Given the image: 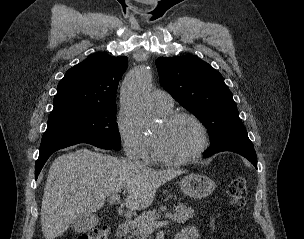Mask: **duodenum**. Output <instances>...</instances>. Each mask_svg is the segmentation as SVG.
<instances>
[{
  "label": "duodenum",
  "mask_w": 304,
  "mask_h": 239,
  "mask_svg": "<svg viewBox=\"0 0 304 239\" xmlns=\"http://www.w3.org/2000/svg\"><path fill=\"white\" fill-rule=\"evenodd\" d=\"M129 230H130V224L128 222H122L117 227V231H116L117 236L125 237L128 234ZM175 239H179V237L176 236Z\"/></svg>",
  "instance_id": "1"
}]
</instances>
